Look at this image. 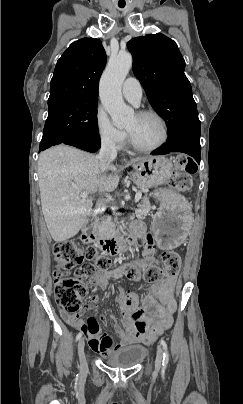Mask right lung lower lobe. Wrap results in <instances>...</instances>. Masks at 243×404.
<instances>
[{"mask_svg": "<svg viewBox=\"0 0 243 404\" xmlns=\"http://www.w3.org/2000/svg\"><path fill=\"white\" fill-rule=\"evenodd\" d=\"M63 143L89 152H96L101 147L100 140L78 136L69 137Z\"/></svg>", "mask_w": 243, "mask_h": 404, "instance_id": "1", "label": "right lung lower lobe"}]
</instances>
